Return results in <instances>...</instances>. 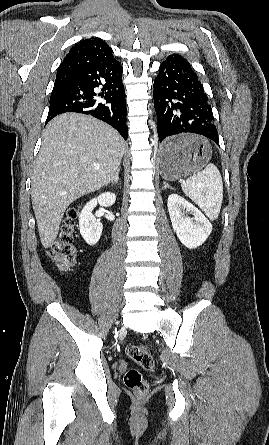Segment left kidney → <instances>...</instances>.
Listing matches in <instances>:
<instances>
[{"label":"left kidney","mask_w":269,"mask_h":445,"mask_svg":"<svg viewBox=\"0 0 269 445\" xmlns=\"http://www.w3.org/2000/svg\"><path fill=\"white\" fill-rule=\"evenodd\" d=\"M167 207L172 227L184 246L193 249L206 241L212 225L202 212L178 194L168 197ZM187 213L193 217H188Z\"/></svg>","instance_id":"1"}]
</instances>
